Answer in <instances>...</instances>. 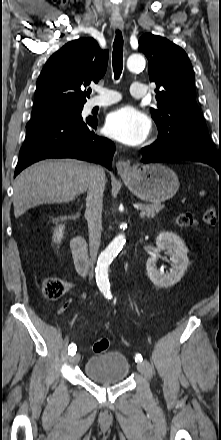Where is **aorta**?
<instances>
[{"label":"aorta","instance_id":"aorta-1","mask_svg":"<svg viewBox=\"0 0 221 440\" xmlns=\"http://www.w3.org/2000/svg\"><path fill=\"white\" fill-rule=\"evenodd\" d=\"M127 67L132 72L143 69L145 67L144 57L140 54L131 55L127 60ZM125 242L126 239L123 234L117 235L99 256L95 272L97 284L103 291L108 292L110 290L108 268L113 258L121 250Z\"/></svg>","mask_w":221,"mask_h":440}]
</instances>
